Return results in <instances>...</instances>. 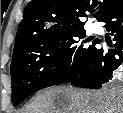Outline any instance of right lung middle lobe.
<instances>
[{"mask_svg": "<svg viewBox=\"0 0 123 113\" xmlns=\"http://www.w3.org/2000/svg\"><path fill=\"white\" fill-rule=\"evenodd\" d=\"M84 28L42 37L14 48L11 62L12 102L17 106L32 93L76 79L90 60L99 40L92 45Z\"/></svg>", "mask_w": 123, "mask_h": 113, "instance_id": "dd1d6c3e", "label": "right lung middle lobe"}]
</instances>
